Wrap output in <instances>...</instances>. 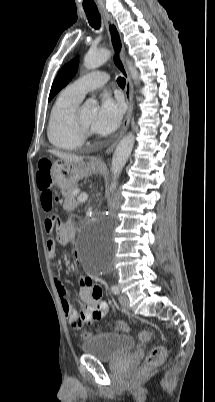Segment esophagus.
<instances>
[{"label": "esophagus", "mask_w": 215, "mask_h": 402, "mask_svg": "<svg viewBox=\"0 0 215 402\" xmlns=\"http://www.w3.org/2000/svg\"><path fill=\"white\" fill-rule=\"evenodd\" d=\"M100 14L103 17V19L106 23L107 29H108L110 43H111V47H112L114 64L126 80L125 98H126V102L128 105V111H127V114L123 121L121 132H120L118 138L106 150V154H110L114 150V148L117 145L120 138L124 135V133L128 129L130 118H131L132 111H133V85H132L131 78H130L129 72L127 70L126 64L124 62L125 49H124V44H123L121 33H120L116 23L114 22V20L112 19V17L106 10H100ZM93 162L95 165H102L103 157L99 155V156L95 157Z\"/></svg>", "instance_id": "1"}]
</instances>
